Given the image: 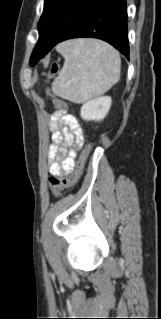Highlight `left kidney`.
I'll return each instance as SVG.
<instances>
[{
    "label": "left kidney",
    "instance_id": "1",
    "mask_svg": "<svg viewBox=\"0 0 161 319\" xmlns=\"http://www.w3.org/2000/svg\"><path fill=\"white\" fill-rule=\"evenodd\" d=\"M112 99L109 96L98 97L92 99L81 107L80 115L86 121H100L103 120L110 107Z\"/></svg>",
    "mask_w": 161,
    "mask_h": 319
}]
</instances>
